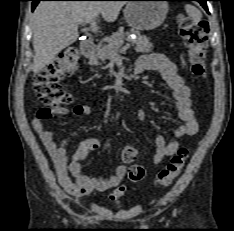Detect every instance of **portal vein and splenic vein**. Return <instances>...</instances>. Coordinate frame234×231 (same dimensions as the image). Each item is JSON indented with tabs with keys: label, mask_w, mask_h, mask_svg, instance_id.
I'll return each mask as SVG.
<instances>
[{
	"label": "portal vein and splenic vein",
	"mask_w": 234,
	"mask_h": 231,
	"mask_svg": "<svg viewBox=\"0 0 234 231\" xmlns=\"http://www.w3.org/2000/svg\"><path fill=\"white\" fill-rule=\"evenodd\" d=\"M90 29L92 32H97L98 31V27H97V23H96V19H91L90 20ZM131 44L130 43H127L126 45H124L120 51L123 52V51H126L128 48H130ZM117 55V54H116ZM114 55V56H116ZM113 56V57H114Z\"/></svg>",
	"instance_id": "obj_1"
}]
</instances>
